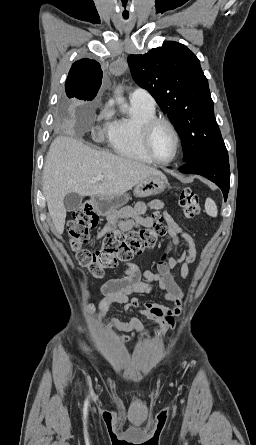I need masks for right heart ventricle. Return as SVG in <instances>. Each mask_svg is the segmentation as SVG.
<instances>
[{"instance_id": "1", "label": "right heart ventricle", "mask_w": 256, "mask_h": 445, "mask_svg": "<svg viewBox=\"0 0 256 445\" xmlns=\"http://www.w3.org/2000/svg\"><path fill=\"white\" fill-rule=\"evenodd\" d=\"M154 117H156L155 108L131 104L127 117L110 122L107 132L109 146L123 157L151 163L141 143L140 127Z\"/></svg>"}]
</instances>
